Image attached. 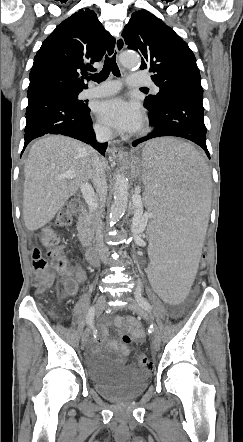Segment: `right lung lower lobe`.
I'll list each match as a JSON object with an SVG mask.
<instances>
[{"instance_id": "right-lung-lower-lobe-1", "label": "right lung lower lobe", "mask_w": 243, "mask_h": 442, "mask_svg": "<svg viewBox=\"0 0 243 442\" xmlns=\"http://www.w3.org/2000/svg\"><path fill=\"white\" fill-rule=\"evenodd\" d=\"M28 101L23 151L35 138L62 134L90 144L105 155L107 143L96 142L90 109L69 91L58 87L33 89L28 91Z\"/></svg>"}]
</instances>
